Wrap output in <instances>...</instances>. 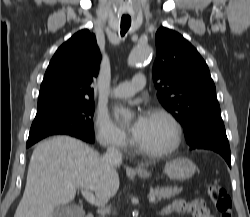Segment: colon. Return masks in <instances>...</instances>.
Segmentation results:
<instances>
[{
  "mask_svg": "<svg viewBox=\"0 0 250 217\" xmlns=\"http://www.w3.org/2000/svg\"><path fill=\"white\" fill-rule=\"evenodd\" d=\"M208 196L220 217H233L232 201L227 191L216 182L207 186Z\"/></svg>",
  "mask_w": 250,
  "mask_h": 217,
  "instance_id": "5ec220e1",
  "label": "colon"
}]
</instances>
